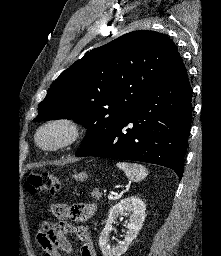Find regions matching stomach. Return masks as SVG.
I'll return each instance as SVG.
<instances>
[{"instance_id": "1", "label": "stomach", "mask_w": 221, "mask_h": 256, "mask_svg": "<svg viewBox=\"0 0 221 256\" xmlns=\"http://www.w3.org/2000/svg\"><path fill=\"white\" fill-rule=\"evenodd\" d=\"M73 177L77 180V181H84L85 179H87V174L85 172H80L78 174L73 175Z\"/></svg>"}]
</instances>
